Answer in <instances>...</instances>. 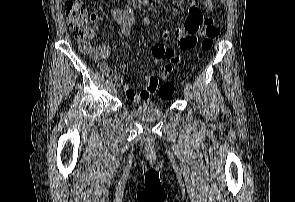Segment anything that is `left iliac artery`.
<instances>
[{"instance_id":"44dca946","label":"left iliac artery","mask_w":295,"mask_h":202,"mask_svg":"<svg viewBox=\"0 0 295 202\" xmlns=\"http://www.w3.org/2000/svg\"><path fill=\"white\" fill-rule=\"evenodd\" d=\"M186 87L189 88V89H192V84L189 83V82H187V83H186Z\"/></svg>"}]
</instances>
